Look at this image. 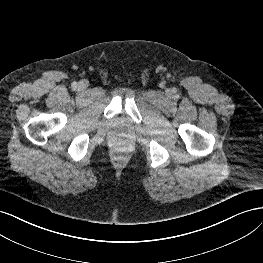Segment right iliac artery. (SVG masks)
<instances>
[{"label":"right iliac artery","mask_w":263,"mask_h":263,"mask_svg":"<svg viewBox=\"0 0 263 263\" xmlns=\"http://www.w3.org/2000/svg\"><path fill=\"white\" fill-rule=\"evenodd\" d=\"M72 86H73L74 88H76L77 83H76V82H73V83H72Z\"/></svg>","instance_id":"right-iliac-artery-1"}]
</instances>
